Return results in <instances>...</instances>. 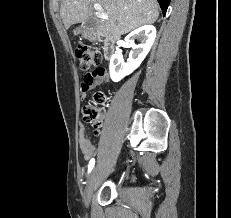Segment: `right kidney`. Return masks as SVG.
Masks as SVG:
<instances>
[{"mask_svg": "<svg viewBox=\"0 0 231 218\" xmlns=\"http://www.w3.org/2000/svg\"><path fill=\"white\" fill-rule=\"evenodd\" d=\"M135 36L141 38V43L139 45L134 44L133 38ZM155 37L156 29L152 25H144L126 36L125 42L128 46L133 48V51H131L127 63L122 60L120 54L112 55L109 70L110 77L114 82L120 81L139 67L150 51Z\"/></svg>", "mask_w": 231, "mask_h": 218, "instance_id": "ca27d5eb", "label": "right kidney"}]
</instances>
